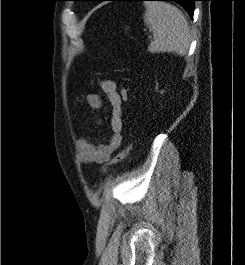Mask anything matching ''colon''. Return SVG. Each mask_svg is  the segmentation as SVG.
<instances>
[{"label":"colon","instance_id":"obj_1","mask_svg":"<svg viewBox=\"0 0 245 265\" xmlns=\"http://www.w3.org/2000/svg\"><path fill=\"white\" fill-rule=\"evenodd\" d=\"M120 95L123 101H127L129 99V92L126 88H122L120 90ZM130 150L131 145L128 144L121 152H119L109 163L104 166L103 170L105 171L109 167H112L125 160L129 156Z\"/></svg>","mask_w":245,"mask_h":265}]
</instances>
